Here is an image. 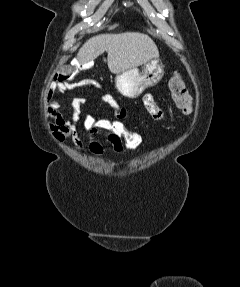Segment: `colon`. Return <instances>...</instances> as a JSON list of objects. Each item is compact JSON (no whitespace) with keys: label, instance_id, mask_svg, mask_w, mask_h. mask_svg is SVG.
I'll list each match as a JSON object with an SVG mask.
<instances>
[{"label":"colon","instance_id":"1","mask_svg":"<svg viewBox=\"0 0 240 287\" xmlns=\"http://www.w3.org/2000/svg\"><path fill=\"white\" fill-rule=\"evenodd\" d=\"M55 81L65 92L80 89L91 88L95 82L91 80L71 81L70 74L61 72L55 76ZM168 88L177 108L183 113L192 112V100L185 86L182 76L179 73L172 75L168 82ZM85 102L83 97H75L71 102V118L78 125L90 134L104 135L113 141H119L124 147V151L130 154H136L143 145V136L141 133L131 130L123 119L95 117L84 114L82 106Z\"/></svg>","mask_w":240,"mask_h":287}]
</instances>
